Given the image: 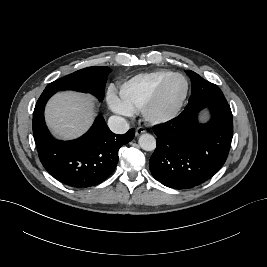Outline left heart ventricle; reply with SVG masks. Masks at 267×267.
I'll return each mask as SVG.
<instances>
[{"mask_svg":"<svg viewBox=\"0 0 267 267\" xmlns=\"http://www.w3.org/2000/svg\"><path fill=\"white\" fill-rule=\"evenodd\" d=\"M185 91V81L182 78L173 79L166 87L161 98L159 109L168 110L174 107Z\"/></svg>","mask_w":267,"mask_h":267,"instance_id":"left-heart-ventricle-1","label":"left heart ventricle"}]
</instances>
